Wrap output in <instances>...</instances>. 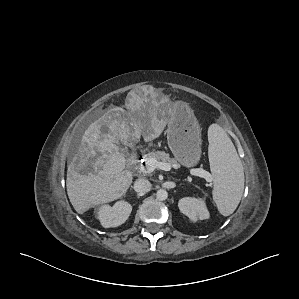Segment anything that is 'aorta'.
Listing matches in <instances>:
<instances>
[{
    "label": "aorta",
    "instance_id": "1",
    "mask_svg": "<svg viewBox=\"0 0 299 299\" xmlns=\"http://www.w3.org/2000/svg\"><path fill=\"white\" fill-rule=\"evenodd\" d=\"M156 197H157L158 200L164 201L168 197V192L164 189H159L156 193Z\"/></svg>",
    "mask_w": 299,
    "mask_h": 299
}]
</instances>
